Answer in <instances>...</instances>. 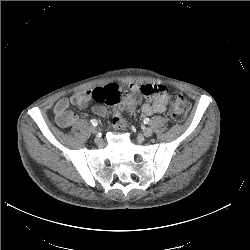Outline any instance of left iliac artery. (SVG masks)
Returning <instances> with one entry per match:
<instances>
[{
  "instance_id": "1",
  "label": "left iliac artery",
  "mask_w": 250,
  "mask_h": 250,
  "mask_svg": "<svg viewBox=\"0 0 250 250\" xmlns=\"http://www.w3.org/2000/svg\"><path fill=\"white\" fill-rule=\"evenodd\" d=\"M144 123H145V124H149V123H150L149 118H144Z\"/></svg>"
}]
</instances>
